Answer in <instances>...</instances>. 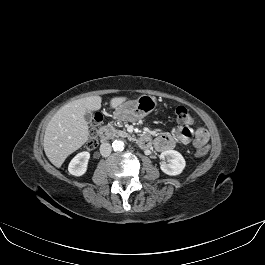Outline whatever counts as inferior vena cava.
<instances>
[{
  "instance_id": "inferior-vena-cava-1",
  "label": "inferior vena cava",
  "mask_w": 265,
  "mask_h": 265,
  "mask_svg": "<svg viewBox=\"0 0 265 265\" xmlns=\"http://www.w3.org/2000/svg\"><path fill=\"white\" fill-rule=\"evenodd\" d=\"M112 151V147L109 143L105 142L100 145V153L103 157H108Z\"/></svg>"
}]
</instances>
